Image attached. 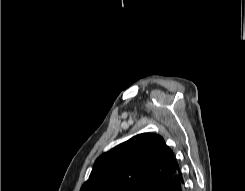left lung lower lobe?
<instances>
[{
    "label": "left lung lower lobe",
    "mask_w": 245,
    "mask_h": 191,
    "mask_svg": "<svg viewBox=\"0 0 245 191\" xmlns=\"http://www.w3.org/2000/svg\"><path fill=\"white\" fill-rule=\"evenodd\" d=\"M157 191H184V180L179 165L171 175L161 184Z\"/></svg>",
    "instance_id": "left-lung-lower-lobe-1"
}]
</instances>
